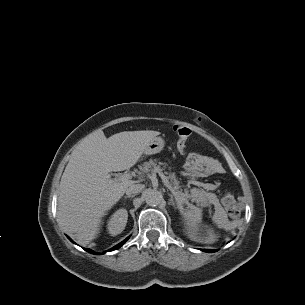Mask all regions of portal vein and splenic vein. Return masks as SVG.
Here are the masks:
<instances>
[{"label": "portal vein and splenic vein", "mask_w": 305, "mask_h": 305, "mask_svg": "<svg viewBox=\"0 0 305 305\" xmlns=\"http://www.w3.org/2000/svg\"><path fill=\"white\" fill-rule=\"evenodd\" d=\"M155 173H158V175L161 177V179L163 180L164 184L172 190L173 193H175L174 188L171 186L170 182L168 181V178L163 174L162 170L159 168H155L153 170ZM132 176L130 174H123L121 176H119L116 181H127L129 179H131ZM181 201H185L186 203L188 202L187 199L185 198H179Z\"/></svg>", "instance_id": "18ae733b"}]
</instances>
